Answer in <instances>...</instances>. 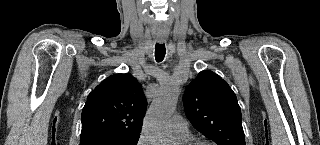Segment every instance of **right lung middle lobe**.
<instances>
[{
	"label": "right lung middle lobe",
	"instance_id": "1",
	"mask_svg": "<svg viewBox=\"0 0 320 145\" xmlns=\"http://www.w3.org/2000/svg\"><path fill=\"white\" fill-rule=\"evenodd\" d=\"M140 133H100L80 138V145H137Z\"/></svg>",
	"mask_w": 320,
	"mask_h": 145
}]
</instances>
